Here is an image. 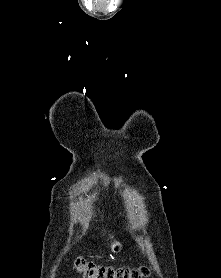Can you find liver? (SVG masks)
I'll list each match as a JSON object with an SVG mask.
<instances>
[{
    "label": "liver",
    "mask_w": 221,
    "mask_h": 278,
    "mask_svg": "<svg viewBox=\"0 0 221 278\" xmlns=\"http://www.w3.org/2000/svg\"><path fill=\"white\" fill-rule=\"evenodd\" d=\"M83 228H84V230H86V229L88 228V222H87V220H84V221H83Z\"/></svg>",
    "instance_id": "liver-1"
}]
</instances>
